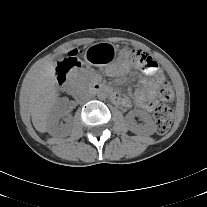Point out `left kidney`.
I'll return each instance as SVG.
<instances>
[{"mask_svg":"<svg viewBox=\"0 0 207 207\" xmlns=\"http://www.w3.org/2000/svg\"><path fill=\"white\" fill-rule=\"evenodd\" d=\"M139 116L144 121V125H137L131 114L126 116L129 129L135 134H140L144 136H150L153 135L156 130V125L152 119V117L145 111L139 110L138 111Z\"/></svg>","mask_w":207,"mask_h":207,"instance_id":"5707ae66","label":"left kidney"}]
</instances>
